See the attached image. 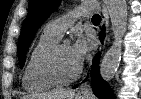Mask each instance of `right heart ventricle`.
Listing matches in <instances>:
<instances>
[{
  "label": "right heart ventricle",
  "instance_id": "1",
  "mask_svg": "<svg viewBox=\"0 0 141 99\" xmlns=\"http://www.w3.org/2000/svg\"><path fill=\"white\" fill-rule=\"evenodd\" d=\"M58 42V38L46 33L41 34L39 40L34 46L22 76V84L26 91L39 93L50 90L56 86L40 75L39 65L46 51Z\"/></svg>",
  "mask_w": 141,
  "mask_h": 99
}]
</instances>
